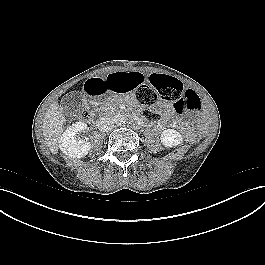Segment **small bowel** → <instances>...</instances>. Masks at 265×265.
I'll return each instance as SVG.
<instances>
[{
	"label": "small bowel",
	"mask_w": 265,
	"mask_h": 265,
	"mask_svg": "<svg viewBox=\"0 0 265 265\" xmlns=\"http://www.w3.org/2000/svg\"><path fill=\"white\" fill-rule=\"evenodd\" d=\"M144 76L140 71L134 70L124 74L121 72L112 74L105 78H91L83 83L82 89L86 95L104 94L107 90L116 92H127L143 83ZM171 115V107L165 105L162 112V120H167Z\"/></svg>",
	"instance_id": "c3829d8e"
}]
</instances>
